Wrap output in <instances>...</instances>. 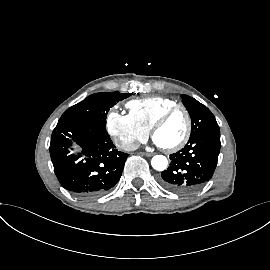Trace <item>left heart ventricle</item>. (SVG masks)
<instances>
[{"label": "left heart ventricle", "mask_w": 270, "mask_h": 270, "mask_svg": "<svg viewBox=\"0 0 270 270\" xmlns=\"http://www.w3.org/2000/svg\"><path fill=\"white\" fill-rule=\"evenodd\" d=\"M186 127V116L182 110H178L157 130L154 139L161 147L173 146L182 139L186 132Z\"/></svg>", "instance_id": "left-heart-ventricle-1"}]
</instances>
